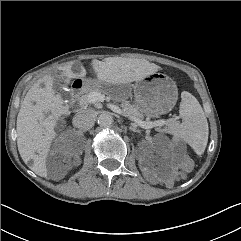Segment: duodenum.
I'll return each instance as SVG.
<instances>
[{
  "instance_id": "410a0bca",
  "label": "duodenum",
  "mask_w": 241,
  "mask_h": 241,
  "mask_svg": "<svg viewBox=\"0 0 241 241\" xmlns=\"http://www.w3.org/2000/svg\"><path fill=\"white\" fill-rule=\"evenodd\" d=\"M88 83L84 80H77L72 84L71 97L73 101H77L82 91L87 87Z\"/></svg>"
}]
</instances>
